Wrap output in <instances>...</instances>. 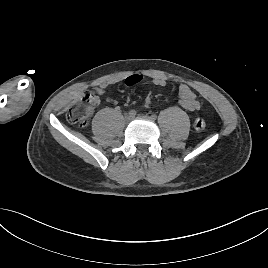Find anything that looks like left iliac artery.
I'll use <instances>...</instances> for the list:
<instances>
[{"mask_svg":"<svg viewBox=\"0 0 268 268\" xmlns=\"http://www.w3.org/2000/svg\"><path fill=\"white\" fill-rule=\"evenodd\" d=\"M156 117H157V116H156L155 114L151 115V118H152L153 120H155Z\"/></svg>","mask_w":268,"mask_h":268,"instance_id":"left-iliac-artery-1","label":"left iliac artery"}]
</instances>
